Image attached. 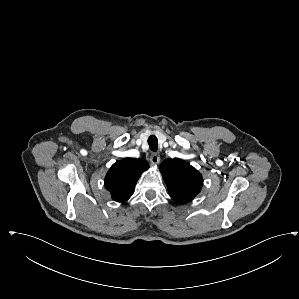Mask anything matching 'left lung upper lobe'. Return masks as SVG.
Returning a JSON list of instances; mask_svg holds the SVG:
<instances>
[{
  "instance_id": "5c2ea615",
  "label": "left lung upper lobe",
  "mask_w": 299,
  "mask_h": 299,
  "mask_svg": "<svg viewBox=\"0 0 299 299\" xmlns=\"http://www.w3.org/2000/svg\"><path fill=\"white\" fill-rule=\"evenodd\" d=\"M160 172L171 198L179 204L191 201L202 188V175L184 160L166 159L160 165Z\"/></svg>"
}]
</instances>
